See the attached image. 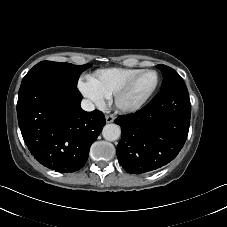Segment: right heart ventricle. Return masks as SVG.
I'll return each instance as SVG.
<instances>
[{
	"label": "right heart ventricle",
	"instance_id": "e07e8e85",
	"mask_svg": "<svg viewBox=\"0 0 227 227\" xmlns=\"http://www.w3.org/2000/svg\"><path fill=\"white\" fill-rule=\"evenodd\" d=\"M140 70L139 68H106L96 71L89 76L88 80L100 93L109 98Z\"/></svg>",
	"mask_w": 227,
	"mask_h": 227
}]
</instances>
